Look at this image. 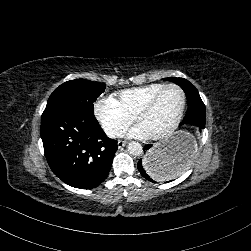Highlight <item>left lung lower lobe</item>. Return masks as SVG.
<instances>
[{
  "label": "left lung lower lobe",
  "mask_w": 251,
  "mask_h": 251,
  "mask_svg": "<svg viewBox=\"0 0 251 251\" xmlns=\"http://www.w3.org/2000/svg\"><path fill=\"white\" fill-rule=\"evenodd\" d=\"M187 114L180 126L183 133L173 147L162 153L152 152V145L144 147V156L137 167L141 175L152 183L168 182L180 175L196 158L200 135L205 128V106L188 101Z\"/></svg>",
  "instance_id": "1"
}]
</instances>
